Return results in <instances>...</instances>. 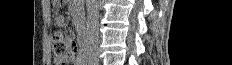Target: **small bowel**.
I'll use <instances>...</instances> for the list:
<instances>
[{
  "instance_id": "small-bowel-1",
  "label": "small bowel",
  "mask_w": 232,
  "mask_h": 65,
  "mask_svg": "<svg viewBox=\"0 0 232 65\" xmlns=\"http://www.w3.org/2000/svg\"><path fill=\"white\" fill-rule=\"evenodd\" d=\"M58 25H60V27H63V25H65V20H62V17H59L58 20ZM64 37H69L70 33L69 32H64L63 33ZM87 59V54L84 50H81L77 55L76 58L74 60V65H85Z\"/></svg>"
}]
</instances>
